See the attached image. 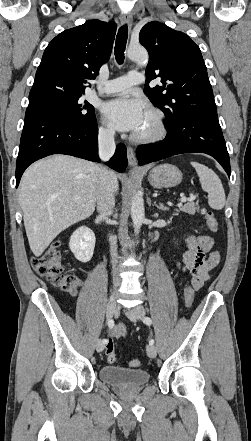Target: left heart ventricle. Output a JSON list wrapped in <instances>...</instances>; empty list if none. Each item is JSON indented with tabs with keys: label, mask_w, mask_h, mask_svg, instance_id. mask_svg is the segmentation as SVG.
Segmentation results:
<instances>
[{
	"label": "left heart ventricle",
	"mask_w": 251,
	"mask_h": 441,
	"mask_svg": "<svg viewBox=\"0 0 251 441\" xmlns=\"http://www.w3.org/2000/svg\"><path fill=\"white\" fill-rule=\"evenodd\" d=\"M153 130H154V121L152 116L147 112L144 123L136 134L147 135L150 134Z\"/></svg>",
	"instance_id": "1"
}]
</instances>
